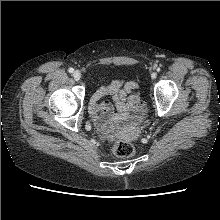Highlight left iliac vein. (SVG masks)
I'll return each instance as SVG.
<instances>
[{"instance_id": "1", "label": "left iliac vein", "mask_w": 220, "mask_h": 220, "mask_svg": "<svg viewBox=\"0 0 220 220\" xmlns=\"http://www.w3.org/2000/svg\"><path fill=\"white\" fill-rule=\"evenodd\" d=\"M156 76H157V73H156V72H153V73L151 74V78H152V79H155Z\"/></svg>"}]
</instances>
